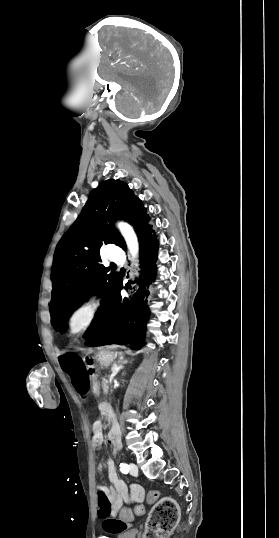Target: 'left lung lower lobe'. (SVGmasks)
Wrapping results in <instances>:
<instances>
[{"label":"left lung lower lobe","mask_w":279,"mask_h":538,"mask_svg":"<svg viewBox=\"0 0 279 538\" xmlns=\"http://www.w3.org/2000/svg\"><path fill=\"white\" fill-rule=\"evenodd\" d=\"M156 237L152 225H148L142 232L139 240L141 274L144 279L136 281L139 287L130 300L121 298L120 290L123 289V284L120 279L114 295L115 309L96 333L84 336L87 346L130 344L134 349L144 346L146 323L150 315L145 296L149 294L147 287L156 276L155 263L159 245ZM130 285L131 282H128L125 289L130 288Z\"/></svg>","instance_id":"left-lung-lower-lobe-1"}]
</instances>
